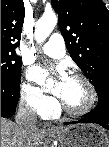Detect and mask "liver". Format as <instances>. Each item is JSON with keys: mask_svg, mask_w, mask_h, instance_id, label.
<instances>
[{"mask_svg": "<svg viewBox=\"0 0 109 147\" xmlns=\"http://www.w3.org/2000/svg\"><path fill=\"white\" fill-rule=\"evenodd\" d=\"M42 140L43 133L37 128L33 136V147H39ZM22 145V135L17 125L6 118H1V147H23Z\"/></svg>", "mask_w": 109, "mask_h": 147, "instance_id": "liver-1", "label": "liver"}]
</instances>
